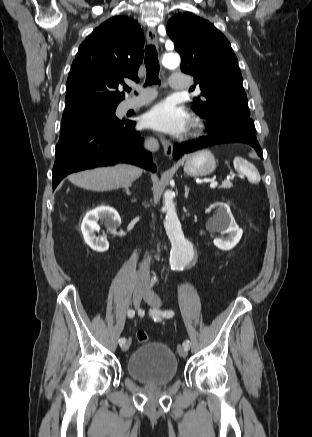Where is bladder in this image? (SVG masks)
Returning <instances> with one entry per match:
<instances>
[{
	"mask_svg": "<svg viewBox=\"0 0 312 437\" xmlns=\"http://www.w3.org/2000/svg\"><path fill=\"white\" fill-rule=\"evenodd\" d=\"M127 374L134 380L150 385H166L178 375V361L173 351L162 342H147L138 346L126 363Z\"/></svg>",
	"mask_w": 312,
	"mask_h": 437,
	"instance_id": "obj_1",
	"label": "bladder"
}]
</instances>
